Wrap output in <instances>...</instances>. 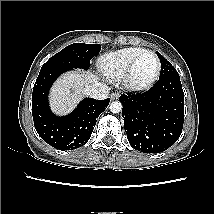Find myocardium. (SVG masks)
<instances>
[{"mask_svg":"<svg viewBox=\"0 0 214 214\" xmlns=\"http://www.w3.org/2000/svg\"><path fill=\"white\" fill-rule=\"evenodd\" d=\"M146 54H150L155 57L156 63H157L156 70H155L154 74L148 80L143 81V82H137L134 79V70L136 68V65L140 61V59ZM160 71H161V61H160L159 56L154 51L144 50L136 58H134V60L130 63V65L126 69V71L123 75V85L127 90H129L131 92L145 91V90L149 89L157 81V79L160 75Z\"/></svg>","mask_w":214,"mask_h":214,"instance_id":"myocardium-1","label":"myocardium"}]
</instances>
